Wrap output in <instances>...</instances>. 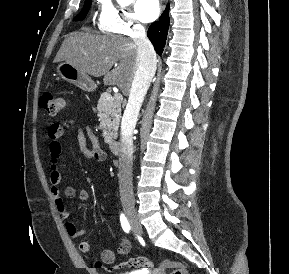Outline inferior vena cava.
Returning <instances> with one entry per match:
<instances>
[{
	"label": "inferior vena cava",
	"mask_w": 289,
	"mask_h": 274,
	"mask_svg": "<svg viewBox=\"0 0 289 274\" xmlns=\"http://www.w3.org/2000/svg\"><path fill=\"white\" fill-rule=\"evenodd\" d=\"M137 46L136 70L128 103L121 122V151L119 156L120 195H132L133 130L139 111L156 71V53L143 26L136 28L133 38Z\"/></svg>",
	"instance_id": "obj_1"
}]
</instances>
